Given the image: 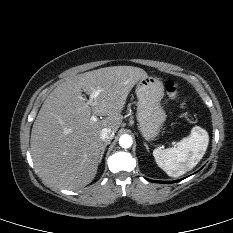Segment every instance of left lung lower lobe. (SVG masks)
I'll use <instances>...</instances> for the list:
<instances>
[{
  "label": "left lung lower lobe",
  "mask_w": 233,
  "mask_h": 233,
  "mask_svg": "<svg viewBox=\"0 0 233 233\" xmlns=\"http://www.w3.org/2000/svg\"><path fill=\"white\" fill-rule=\"evenodd\" d=\"M149 181H151V182H157V183H173V182H177V181H153V180H149ZM178 181H180V180H178Z\"/></svg>",
  "instance_id": "obj_1"
}]
</instances>
